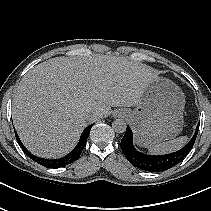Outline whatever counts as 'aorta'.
I'll list each match as a JSON object with an SVG mask.
<instances>
[{
	"instance_id": "aorta-1",
	"label": "aorta",
	"mask_w": 211,
	"mask_h": 211,
	"mask_svg": "<svg viewBox=\"0 0 211 211\" xmlns=\"http://www.w3.org/2000/svg\"><path fill=\"white\" fill-rule=\"evenodd\" d=\"M112 128L117 133H124L127 128V124L123 119H116L112 123Z\"/></svg>"
}]
</instances>
